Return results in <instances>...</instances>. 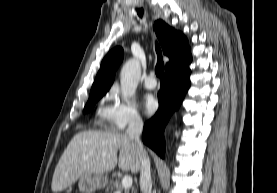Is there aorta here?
<instances>
[{
	"mask_svg": "<svg viewBox=\"0 0 277 193\" xmlns=\"http://www.w3.org/2000/svg\"><path fill=\"white\" fill-rule=\"evenodd\" d=\"M141 77V66L138 60L130 59L122 67L120 73L121 92L126 97H132Z\"/></svg>",
	"mask_w": 277,
	"mask_h": 193,
	"instance_id": "aorta-1",
	"label": "aorta"
}]
</instances>
